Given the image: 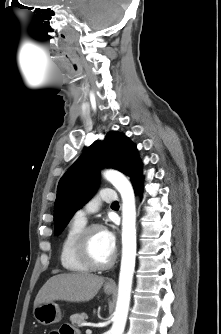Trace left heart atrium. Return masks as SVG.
I'll list each match as a JSON object with an SVG mask.
<instances>
[{"instance_id": "obj_1", "label": "left heart atrium", "mask_w": 221, "mask_h": 334, "mask_svg": "<svg viewBox=\"0 0 221 334\" xmlns=\"http://www.w3.org/2000/svg\"><path fill=\"white\" fill-rule=\"evenodd\" d=\"M104 234H105L106 241H107L108 245L113 250H115V247H116V236H115L114 232L112 230L105 229L104 230Z\"/></svg>"}]
</instances>
